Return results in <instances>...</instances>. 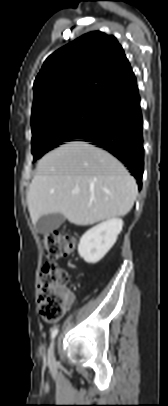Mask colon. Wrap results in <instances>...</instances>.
<instances>
[{
  "label": "colon",
  "instance_id": "1",
  "mask_svg": "<svg viewBox=\"0 0 168 406\" xmlns=\"http://www.w3.org/2000/svg\"><path fill=\"white\" fill-rule=\"evenodd\" d=\"M48 259L38 274L37 302L42 319L48 323L59 321L65 311L67 271L54 260L64 258L75 248V239L64 230L45 234L42 238Z\"/></svg>",
  "mask_w": 168,
  "mask_h": 406
}]
</instances>
